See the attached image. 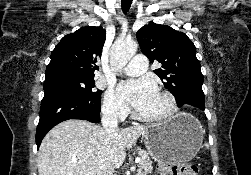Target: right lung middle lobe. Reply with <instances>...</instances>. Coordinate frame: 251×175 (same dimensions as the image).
Listing matches in <instances>:
<instances>
[{
  "mask_svg": "<svg viewBox=\"0 0 251 175\" xmlns=\"http://www.w3.org/2000/svg\"><path fill=\"white\" fill-rule=\"evenodd\" d=\"M94 76H53L46 77L44 81V91L49 89H63L74 92L81 96H94L101 94L100 90H93Z\"/></svg>",
  "mask_w": 251,
  "mask_h": 175,
  "instance_id": "obj_1",
  "label": "right lung middle lobe"
}]
</instances>
